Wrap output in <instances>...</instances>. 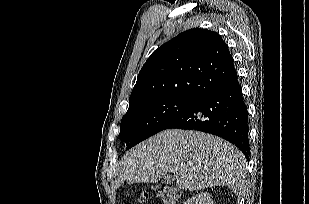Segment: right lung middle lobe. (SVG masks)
I'll return each instance as SVG.
<instances>
[{"instance_id":"right-lung-middle-lobe-1","label":"right lung middle lobe","mask_w":309,"mask_h":204,"mask_svg":"<svg viewBox=\"0 0 309 204\" xmlns=\"http://www.w3.org/2000/svg\"><path fill=\"white\" fill-rule=\"evenodd\" d=\"M198 100L194 97L164 96L129 105L121 120L120 139L126 143V149H130L165 129Z\"/></svg>"}]
</instances>
